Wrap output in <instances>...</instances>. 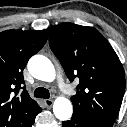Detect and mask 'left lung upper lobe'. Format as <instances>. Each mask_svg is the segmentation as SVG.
<instances>
[{
    "mask_svg": "<svg viewBox=\"0 0 127 127\" xmlns=\"http://www.w3.org/2000/svg\"><path fill=\"white\" fill-rule=\"evenodd\" d=\"M50 46L68 78L80 75L77 94L71 98L74 113L112 126L125 88L123 66L108 41L93 27L62 23L49 29Z\"/></svg>",
    "mask_w": 127,
    "mask_h": 127,
    "instance_id": "obj_1",
    "label": "left lung upper lobe"
}]
</instances>
